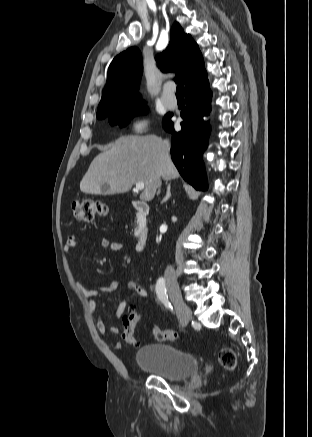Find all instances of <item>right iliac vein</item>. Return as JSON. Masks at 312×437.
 Returning a JSON list of instances; mask_svg holds the SVG:
<instances>
[{
	"mask_svg": "<svg viewBox=\"0 0 312 437\" xmlns=\"http://www.w3.org/2000/svg\"><path fill=\"white\" fill-rule=\"evenodd\" d=\"M168 292L175 309L181 314L180 322L185 326L191 318L192 312L184 302L177 282L172 280L171 277H168Z\"/></svg>",
	"mask_w": 312,
	"mask_h": 437,
	"instance_id": "63e3f726",
	"label": "right iliac vein"
}]
</instances>
